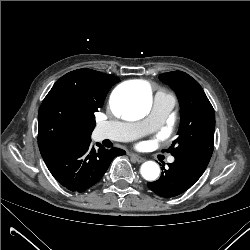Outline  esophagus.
<instances>
[{"mask_svg":"<svg viewBox=\"0 0 250 250\" xmlns=\"http://www.w3.org/2000/svg\"><path fill=\"white\" fill-rule=\"evenodd\" d=\"M130 157H131L134 161H136V162H138V163H141V162H144V161H145V159H144L143 157H141V156H139V155H137V154L131 153V154H130Z\"/></svg>","mask_w":250,"mask_h":250,"instance_id":"obj_1","label":"esophagus"}]
</instances>
